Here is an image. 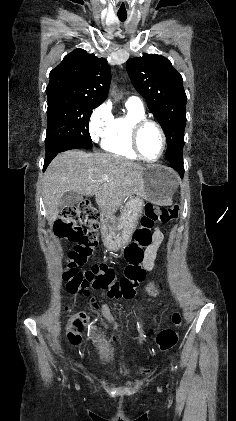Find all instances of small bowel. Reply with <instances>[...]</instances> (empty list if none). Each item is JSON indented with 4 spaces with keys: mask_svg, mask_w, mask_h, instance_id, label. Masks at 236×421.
Here are the masks:
<instances>
[{
    "mask_svg": "<svg viewBox=\"0 0 236 421\" xmlns=\"http://www.w3.org/2000/svg\"><path fill=\"white\" fill-rule=\"evenodd\" d=\"M154 238H155V242H154V245L151 248L150 254H149L148 258H147V261H146L147 264H149V262H150V260L152 258V252L155 251L159 247V245H160V243H161V241L163 239V235H162V233H161V231L159 229H155V231H154ZM149 291L151 293H153V294H157L158 293L157 287L154 284H150L149 285ZM101 311H102V314L104 315V317L108 321H112V316L110 315L109 308H108V306L106 304H103L101 306Z\"/></svg>",
    "mask_w": 236,
    "mask_h": 421,
    "instance_id": "small-bowel-1",
    "label": "small bowel"
}]
</instances>
